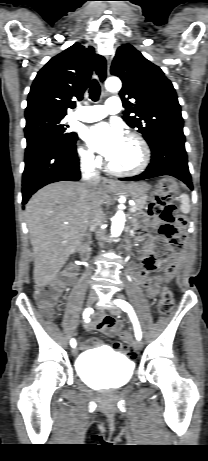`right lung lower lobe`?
Segmentation results:
<instances>
[{
	"label": "right lung lower lobe",
	"mask_w": 208,
	"mask_h": 461,
	"mask_svg": "<svg viewBox=\"0 0 208 461\" xmlns=\"http://www.w3.org/2000/svg\"><path fill=\"white\" fill-rule=\"evenodd\" d=\"M22 179V204L43 186L57 181H78L81 177L76 145L44 140L26 149Z\"/></svg>",
	"instance_id": "right-lung-lower-lobe-1"
}]
</instances>
